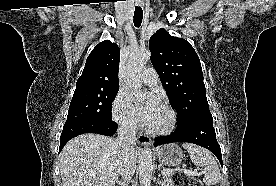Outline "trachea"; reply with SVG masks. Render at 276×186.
<instances>
[{
	"instance_id": "1",
	"label": "trachea",
	"mask_w": 276,
	"mask_h": 186,
	"mask_svg": "<svg viewBox=\"0 0 276 186\" xmlns=\"http://www.w3.org/2000/svg\"><path fill=\"white\" fill-rule=\"evenodd\" d=\"M143 19V10L140 6L135 7L133 22L135 27L139 28Z\"/></svg>"
}]
</instances>
